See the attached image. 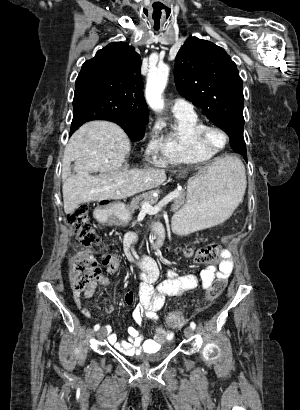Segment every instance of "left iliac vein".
Instances as JSON below:
<instances>
[{
	"label": "left iliac vein",
	"instance_id": "obj_1",
	"mask_svg": "<svg viewBox=\"0 0 300 410\" xmlns=\"http://www.w3.org/2000/svg\"><path fill=\"white\" fill-rule=\"evenodd\" d=\"M194 333V330L191 327H186L184 330V334L186 337H191Z\"/></svg>",
	"mask_w": 300,
	"mask_h": 410
}]
</instances>
